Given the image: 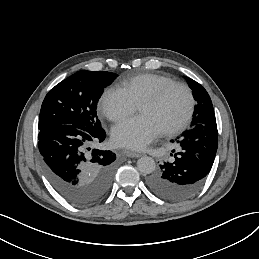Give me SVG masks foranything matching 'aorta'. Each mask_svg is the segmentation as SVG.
<instances>
[{"instance_id":"obj_1","label":"aorta","mask_w":259,"mask_h":259,"mask_svg":"<svg viewBox=\"0 0 259 259\" xmlns=\"http://www.w3.org/2000/svg\"><path fill=\"white\" fill-rule=\"evenodd\" d=\"M137 168L142 174H151L156 168V164L153 158L143 156L137 161Z\"/></svg>"}]
</instances>
